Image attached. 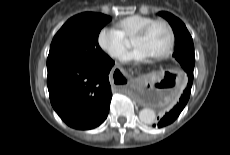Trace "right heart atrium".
Segmentation results:
<instances>
[{"label":"right heart atrium","instance_id":"right-heart-atrium-1","mask_svg":"<svg viewBox=\"0 0 230 155\" xmlns=\"http://www.w3.org/2000/svg\"><path fill=\"white\" fill-rule=\"evenodd\" d=\"M100 49L113 59L120 58L127 49V39L114 27H103L97 36Z\"/></svg>","mask_w":230,"mask_h":155}]
</instances>
